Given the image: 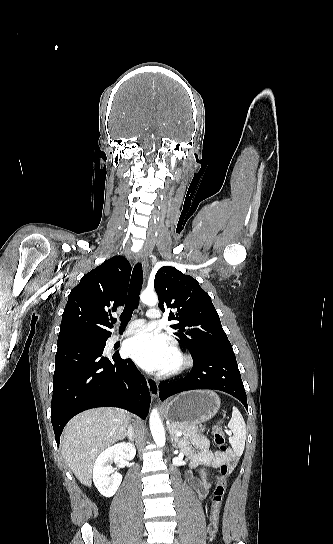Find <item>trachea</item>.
I'll return each mask as SVG.
<instances>
[{"label": "trachea", "mask_w": 333, "mask_h": 544, "mask_svg": "<svg viewBox=\"0 0 333 544\" xmlns=\"http://www.w3.org/2000/svg\"><path fill=\"white\" fill-rule=\"evenodd\" d=\"M142 283V264L138 262L133 268L127 301L124 310L120 315V321H122L120 329H124L126 327L132 317L133 311L139 306V295L142 288ZM111 322L116 323L117 319L113 318Z\"/></svg>", "instance_id": "3493384b"}]
</instances>
